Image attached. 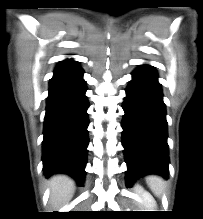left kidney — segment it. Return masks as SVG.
<instances>
[{
    "label": "left kidney",
    "mask_w": 203,
    "mask_h": 219,
    "mask_svg": "<svg viewBox=\"0 0 203 219\" xmlns=\"http://www.w3.org/2000/svg\"><path fill=\"white\" fill-rule=\"evenodd\" d=\"M135 189L141 198V206L146 209L145 211H154V208H156L154 198L139 185H136Z\"/></svg>",
    "instance_id": "obj_1"
}]
</instances>
